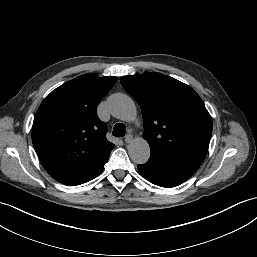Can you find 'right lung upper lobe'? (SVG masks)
Segmentation results:
<instances>
[{
	"instance_id": "right-lung-upper-lobe-1",
	"label": "right lung upper lobe",
	"mask_w": 257,
	"mask_h": 257,
	"mask_svg": "<svg viewBox=\"0 0 257 257\" xmlns=\"http://www.w3.org/2000/svg\"><path fill=\"white\" fill-rule=\"evenodd\" d=\"M116 77L81 75L53 90L37 110L32 142L49 174L63 184L79 182L101 168L114 144L96 113Z\"/></svg>"
}]
</instances>
